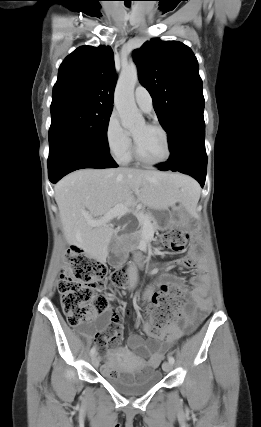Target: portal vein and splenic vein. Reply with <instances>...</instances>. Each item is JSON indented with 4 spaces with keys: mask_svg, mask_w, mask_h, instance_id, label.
Instances as JSON below:
<instances>
[{
    "mask_svg": "<svg viewBox=\"0 0 261 427\" xmlns=\"http://www.w3.org/2000/svg\"><path fill=\"white\" fill-rule=\"evenodd\" d=\"M129 212V206L126 204H120L113 207L109 212H107L103 217L99 219H89L88 224L92 227H100L109 223L113 218L122 217ZM134 215L137 217L139 222H141L145 227H148L149 222L146 220V216L138 211L134 212Z\"/></svg>",
    "mask_w": 261,
    "mask_h": 427,
    "instance_id": "18ae733b",
    "label": "portal vein and splenic vein"
}]
</instances>
